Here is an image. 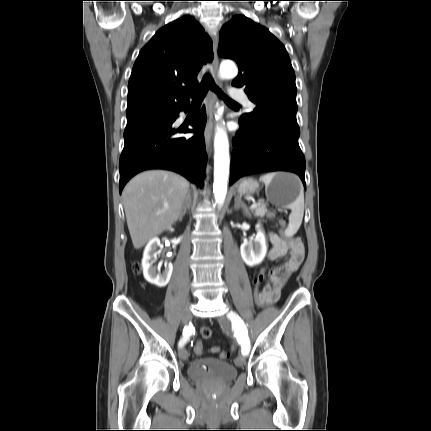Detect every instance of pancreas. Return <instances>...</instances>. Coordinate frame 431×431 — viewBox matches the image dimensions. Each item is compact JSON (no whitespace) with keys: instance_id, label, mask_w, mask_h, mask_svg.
<instances>
[{"instance_id":"1","label":"pancreas","mask_w":431,"mask_h":431,"mask_svg":"<svg viewBox=\"0 0 431 431\" xmlns=\"http://www.w3.org/2000/svg\"><path fill=\"white\" fill-rule=\"evenodd\" d=\"M252 212L255 216L261 217V218H263L265 215L268 218H273L275 216L273 213L268 212L265 205H261V206L254 208Z\"/></svg>"}]
</instances>
